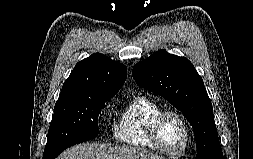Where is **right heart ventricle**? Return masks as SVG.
I'll use <instances>...</instances> for the list:
<instances>
[{"instance_id": "e07e8e85", "label": "right heart ventricle", "mask_w": 253, "mask_h": 159, "mask_svg": "<svg viewBox=\"0 0 253 159\" xmlns=\"http://www.w3.org/2000/svg\"><path fill=\"white\" fill-rule=\"evenodd\" d=\"M162 107L146 96L133 98L120 112L114 125L119 144L139 150L156 149L149 138V124Z\"/></svg>"}]
</instances>
